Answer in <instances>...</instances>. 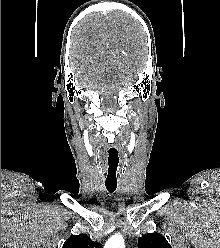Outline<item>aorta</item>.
I'll return each mask as SVG.
<instances>
[{
  "mask_svg": "<svg viewBox=\"0 0 220 248\" xmlns=\"http://www.w3.org/2000/svg\"><path fill=\"white\" fill-rule=\"evenodd\" d=\"M104 248H125L124 239L121 235H114L106 242Z\"/></svg>",
  "mask_w": 220,
  "mask_h": 248,
  "instance_id": "obj_1",
  "label": "aorta"
}]
</instances>
